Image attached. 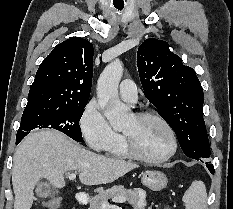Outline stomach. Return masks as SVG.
<instances>
[{
	"label": "stomach",
	"instance_id": "1",
	"mask_svg": "<svg viewBox=\"0 0 233 209\" xmlns=\"http://www.w3.org/2000/svg\"><path fill=\"white\" fill-rule=\"evenodd\" d=\"M142 184L153 191H160L167 186L168 179L163 172L147 170L142 173Z\"/></svg>",
	"mask_w": 233,
	"mask_h": 209
}]
</instances>
